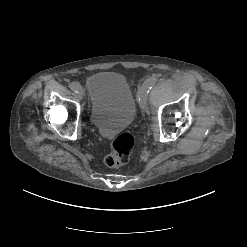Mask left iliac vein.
Wrapping results in <instances>:
<instances>
[{
	"mask_svg": "<svg viewBox=\"0 0 247 247\" xmlns=\"http://www.w3.org/2000/svg\"><path fill=\"white\" fill-rule=\"evenodd\" d=\"M147 96H148V92H147L146 88L141 87V89L139 90V93H138V99H139V103H140L141 108L145 111H147V107H146Z\"/></svg>",
	"mask_w": 247,
	"mask_h": 247,
	"instance_id": "1",
	"label": "left iliac vein"
}]
</instances>
